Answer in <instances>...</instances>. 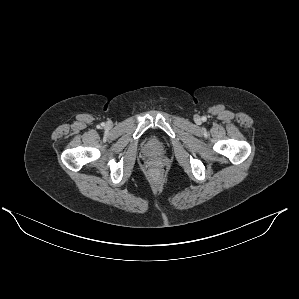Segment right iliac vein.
Returning a JSON list of instances; mask_svg holds the SVG:
<instances>
[{"label":"right iliac vein","mask_w":299,"mask_h":299,"mask_svg":"<svg viewBox=\"0 0 299 299\" xmlns=\"http://www.w3.org/2000/svg\"><path fill=\"white\" fill-rule=\"evenodd\" d=\"M110 126V124H107V127H109Z\"/></svg>","instance_id":"right-iliac-vein-1"}]
</instances>
